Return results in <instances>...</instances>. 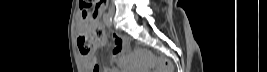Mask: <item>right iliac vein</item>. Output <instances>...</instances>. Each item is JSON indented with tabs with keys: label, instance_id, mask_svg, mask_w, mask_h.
Here are the masks:
<instances>
[{
	"label": "right iliac vein",
	"instance_id": "1",
	"mask_svg": "<svg viewBox=\"0 0 267 72\" xmlns=\"http://www.w3.org/2000/svg\"><path fill=\"white\" fill-rule=\"evenodd\" d=\"M110 15H111V17H114V12L112 11V12L110 13Z\"/></svg>",
	"mask_w": 267,
	"mask_h": 72
}]
</instances>
